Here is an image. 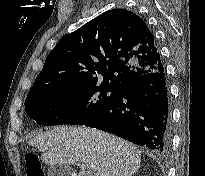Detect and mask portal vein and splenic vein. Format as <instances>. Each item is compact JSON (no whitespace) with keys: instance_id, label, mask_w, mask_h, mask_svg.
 I'll return each mask as SVG.
<instances>
[{"instance_id":"obj_1","label":"portal vein and splenic vein","mask_w":205,"mask_h":176,"mask_svg":"<svg viewBox=\"0 0 205 176\" xmlns=\"http://www.w3.org/2000/svg\"><path fill=\"white\" fill-rule=\"evenodd\" d=\"M78 165L80 166V168H81L82 170H85V169H86V165H85V164L81 163V164H78Z\"/></svg>"}]
</instances>
